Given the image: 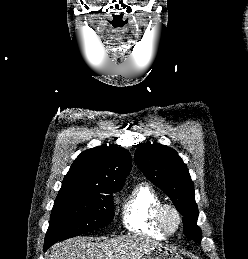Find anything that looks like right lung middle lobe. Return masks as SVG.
Returning <instances> with one entry per match:
<instances>
[{
  "mask_svg": "<svg viewBox=\"0 0 248 259\" xmlns=\"http://www.w3.org/2000/svg\"><path fill=\"white\" fill-rule=\"evenodd\" d=\"M120 190L61 188L52 209L45 242L53 244L108 225L114 217L112 193Z\"/></svg>",
  "mask_w": 248,
  "mask_h": 259,
  "instance_id": "dd1d6c3e",
  "label": "right lung middle lobe"
}]
</instances>
